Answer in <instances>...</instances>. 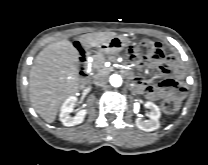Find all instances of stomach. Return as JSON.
Here are the masks:
<instances>
[{
    "label": "stomach",
    "mask_w": 208,
    "mask_h": 165,
    "mask_svg": "<svg viewBox=\"0 0 208 165\" xmlns=\"http://www.w3.org/2000/svg\"><path fill=\"white\" fill-rule=\"evenodd\" d=\"M129 39L122 35H116L108 41L100 44L98 50L105 54H116L123 50L128 44Z\"/></svg>",
    "instance_id": "1"
}]
</instances>
